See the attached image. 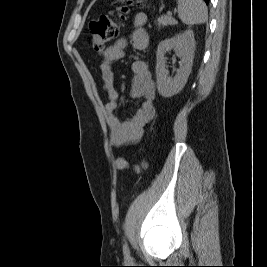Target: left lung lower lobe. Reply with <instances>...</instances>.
<instances>
[{"instance_id":"left-lung-lower-lobe-1","label":"left lung lower lobe","mask_w":267,"mask_h":267,"mask_svg":"<svg viewBox=\"0 0 267 267\" xmlns=\"http://www.w3.org/2000/svg\"><path fill=\"white\" fill-rule=\"evenodd\" d=\"M207 4L209 3V0H204Z\"/></svg>"}]
</instances>
